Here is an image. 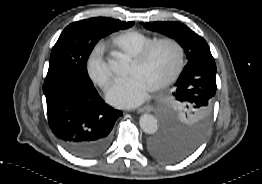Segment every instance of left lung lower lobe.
Masks as SVG:
<instances>
[{
  "instance_id": "obj_1",
  "label": "left lung lower lobe",
  "mask_w": 262,
  "mask_h": 184,
  "mask_svg": "<svg viewBox=\"0 0 262 184\" xmlns=\"http://www.w3.org/2000/svg\"><path fill=\"white\" fill-rule=\"evenodd\" d=\"M206 63L215 64L214 59ZM198 146L174 139L163 130L157 137L149 141L148 150L161 161L178 162L190 156Z\"/></svg>"
}]
</instances>
